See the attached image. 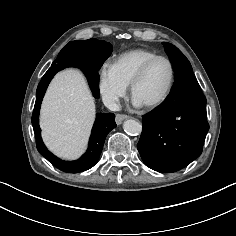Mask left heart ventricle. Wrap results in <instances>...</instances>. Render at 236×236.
Returning <instances> with one entry per match:
<instances>
[{"label":"left heart ventricle","mask_w":236,"mask_h":236,"mask_svg":"<svg viewBox=\"0 0 236 236\" xmlns=\"http://www.w3.org/2000/svg\"><path fill=\"white\" fill-rule=\"evenodd\" d=\"M170 79V68L167 62H155L135 90V99L146 104L159 99L165 92Z\"/></svg>","instance_id":"b2bd125f"}]
</instances>
